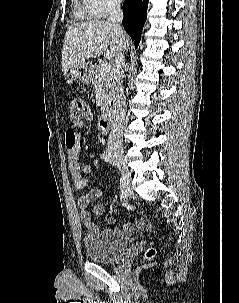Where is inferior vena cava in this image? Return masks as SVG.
<instances>
[{
	"instance_id": "obj_1",
	"label": "inferior vena cava",
	"mask_w": 239,
	"mask_h": 303,
	"mask_svg": "<svg viewBox=\"0 0 239 303\" xmlns=\"http://www.w3.org/2000/svg\"><path fill=\"white\" fill-rule=\"evenodd\" d=\"M123 20L120 0H112L109 17L107 21L111 23L119 37H122L124 31L120 25ZM124 51L119 49L115 55L114 66L112 69V126L108 140L110 150H121L123 141V130L126 121V105L123 93V73H124Z\"/></svg>"
}]
</instances>
